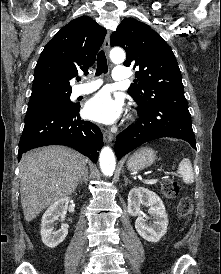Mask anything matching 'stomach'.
Segmentation results:
<instances>
[{"label": "stomach", "mask_w": 221, "mask_h": 274, "mask_svg": "<svg viewBox=\"0 0 221 274\" xmlns=\"http://www.w3.org/2000/svg\"><path fill=\"white\" fill-rule=\"evenodd\" d=\"M156 160V152L148 147H143L133 153L127 161V168L137 172L151 166Z\"/></svg>", "instance_id": "1"}]
</instances>
